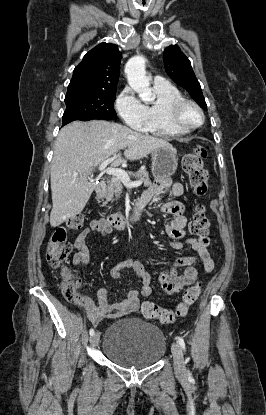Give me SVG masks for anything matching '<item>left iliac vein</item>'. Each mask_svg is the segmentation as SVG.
<instances>
[{
  "label": "left iliac vein",
  "mask_w": 266,
  "mask_h": 415,
  "mask_svg": "<svg viewBox=\"0 0 266 415\" xmlns=\"http://www.w3.org/2000/svg\"><path fill=\"white\" fill-rule=\"evenodd\" d=\"M173 355L174 368L178 375H184L185 373V361L181 347L177 343H173L171 346Z\"/></svg>",
  "instance_id": "1"
}]
</instances>
